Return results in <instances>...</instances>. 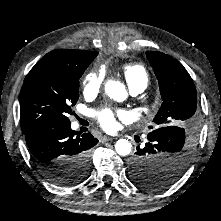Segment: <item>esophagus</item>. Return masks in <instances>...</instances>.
I'll list each match as a JSON object with an SVG mask.
<instances>
[{
    "mask_svg": "<svg viewBox=\"0 0 221 221\" xmlns=\"http://www.w3.org/2000/svg\"><path fill=\"white\" fill-rule=\"evenodd\" d=\"M113 138L112 137H108V136H102L100 138V142L105 143L107 141H111Z\"/></svg>",
    "mask_w": 221,
    "mask_h": 221,
    "instance_id": "obj_1",
    "label": "esophagus"
}]
</instances>
